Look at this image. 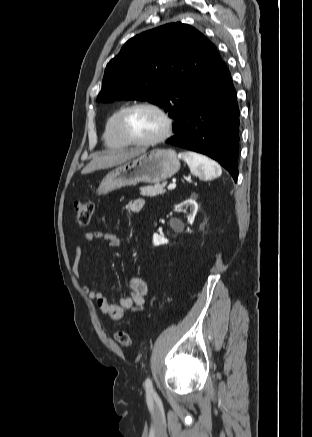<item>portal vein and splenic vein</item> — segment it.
Instances as JSON below:
<instances>
[{"label": "portal vein and splenic vein", "instance_id": "18ae733b", "mask_svg": "<svg viewBox=\"0 0 312 437\" xmlns=\"http://www.w3.org/2000/svg\"><path fill=\"white\" fill-rule=\"evenodd\" d=\"M175 187H176V184H175V183H172V184H169L167 188H168L169 190H171V189H174Z\"/></svg>", "mask_w": 312, "mask_h": 437}]
</instances>
